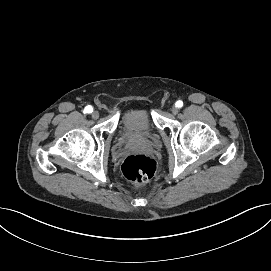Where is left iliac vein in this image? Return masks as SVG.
Listing matches in <instances>:
<instances>
[{"instance_id": "4c4485c4", "label": "left iliac vein", "mask_w": 271, "mask_h": 271, "mask_svg": "<svg viewBox=\"0 0 271 271\" xmlns=\"http://www.w3.org/2000/svg\"><path fill=\"white\" fill-rule=\"evenodd\" d=\"M171 112H172V114H177L178 112H179V108L178 107H176V106H172V108H171Z\"/></svg>"}]
</instances>
